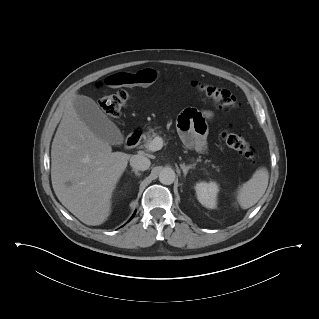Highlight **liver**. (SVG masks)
<instances>
[{"label": "liver", "mask_w": 319, "mask_h": 319, "mask_svg": "<svg viewBox=\"0 0 319 319\" xmlns=\"http://www.w3.org/2000/svg\"><path fill=\"white\" fill-rule=\"evenodd\" d=\"M67 101L51 147V180L59 201L81 222L100 225L110 215L111 197L129 154L112 152ZM70 183V185H68Z\"/></svg>", "instance_id": "liver-1"}]
</instances>
